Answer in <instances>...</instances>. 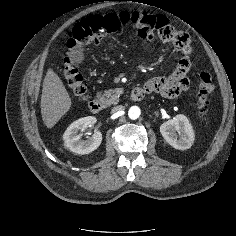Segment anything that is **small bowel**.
I'll return each mask as SVG.
<instances>
[{
  "label": "small bowel",
  "mask_w": 236,
  "mask_h": 236,
  "mask_svg": "<svg viewBox=\"0 0 236 236\" xmlns=\"http://www.w3.org/2000/svg\"><path fill=\"white\" fill-rule=\"evenodd\" d=\"M182 34V39L179 42H175V46L181 51L182 56L180 57L175 71L168 76L157 77L149 80L144 90L147 93H158L166 97L177 95L188 88L187 74L191 68V44L187 35ZM186 81L187 87L183 91H179L178 82Z\"/></svg>",
  "instance_id": "c3829d8e"
}]
</instances>
